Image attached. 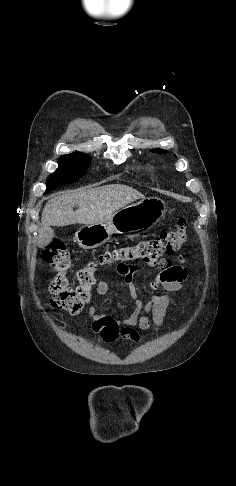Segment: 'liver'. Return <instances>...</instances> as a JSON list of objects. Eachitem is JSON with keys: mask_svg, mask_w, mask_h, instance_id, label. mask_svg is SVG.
Returning <instances> with one entry per match:
<instances>
[{"mask_svg": "<svg viewBox=\"0 0 236 486\" xmlns=\"http://www.w3.org/2000/svg\"><path fill=\"white\" fill-rule=\"evenodd\" d=\"M144 198L139 191L121 184L68 191L46 203L42 211V228L102 223L127 204ZM76 204L78 209L73 211Z\"/></svg>", "mask_w": 236, "mask_h": 486, "instance_id": "6515ba94", "label": "liver"}]
</instances>
